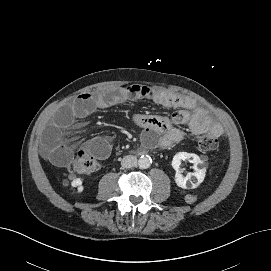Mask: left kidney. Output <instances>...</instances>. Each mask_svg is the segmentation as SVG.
<instances>
[{
    "label": "left kidney",
    "instance_id": "1",
    "mask_svg": "<svg viewBox=\"0 0 271 271\" xmlns=\"http://www.w3.org/2000/svg\"><path fill=\"white\" fill-rule=\"evenodd\" d=\"M188 160L194 164V173H188L186 176H183L179 171L181 162ZM202 163L200 157L194 153L179 152L177 153L172 160V167L176 170L175 182L178 187L183 189H195L197 188L205 178L206 169L199 168L198 165Z\"/></svg>",
    "mask_w": 271,
    "mask_h": 271
}]
</instances>
